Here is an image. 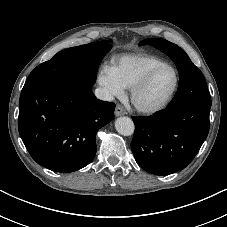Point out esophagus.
Wrapping results in <instances>:
<instances>
[{
	"label": "esophagus",
	"instance_id": "obj_1",
	"mask_svg": "<svg viewBox=\"0 0 227 227\" xmlns=\"http://www.w3.org/2000/svg\"><path fill=\"white\" fill-rule=\"evenodd\" d=\"M124 114H126L125 109L121 105H117L116 108H115V115L121 116V115H124Z\"/></svg>",
	"mask_w": 227,
	"mask_h": 227
}]
</instances>
